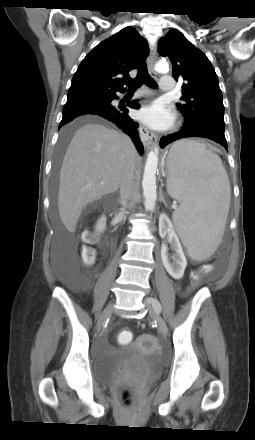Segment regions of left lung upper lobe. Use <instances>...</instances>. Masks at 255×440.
I'll return each instance as SVG.
<instances>
[{
    "label": "left lung upper lobe",
    "mask_w": 255,
    "mask_h": 440,
    "mask_svg": "<svg viewBox=\"0 0 255 440\" xmlns=\"http://www.w3.org/2000/svg\"><path fill=\"white\" fill-rule=\"evenodd\" d=\"M158 52L169 57L175 80L186 81L182 85V103L177 104L186 123L212 121L225 125L222 92L207 56L177 30L169 31L159 40Z\"/></svg>",
    "instance_id": "1"
}]
</instances>
